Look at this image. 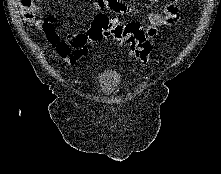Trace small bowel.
<instances>
[{
  "instance_id": "small-bowel-1",
  "label": "small bowel",
  "mask_w": 221,
  "mask_h": 174,
  "mask_svg": "<svg viewBox=\"0 0 221 174\" xmlns=\"http://www.w3.org/2000/svg\"><path fill=\"white\" fill-rule=\"evenodd\" d=\"M150 1L157 2L158 0ZM93 4L97 15L104 14L106 10H110L117 15H129L134 12V8L122 0H95ZM178 21V7L174 4H166L160 14L155 12L148 13L144 30L148 38L152 39L156 36L159 27L172 26ZM54 24V18L42 19L38 16L35 20V26L45 35L57 54L67 63L75 64L87 54L86 43L89 40L85 38V33L69 34L66 40H61Z\"/></svg>"
}]
</instances>
